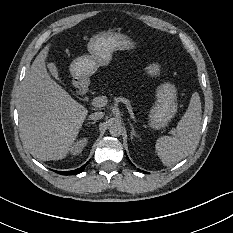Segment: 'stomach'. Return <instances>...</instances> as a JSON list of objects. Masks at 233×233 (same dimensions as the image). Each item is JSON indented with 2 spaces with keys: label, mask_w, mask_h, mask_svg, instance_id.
<instances>
[{
  "label": "stomach",
  "mask_w": 233,
  "mask_h": 233,
  "mask_svg": "<svg viewBox=\"0 0 233 233\" xmlns=\"http://www.w3.org/2000/svg\"><path fill=\"white\" fill-rule=\"evenodd\" d=\"M132 43L122 34L117 32H100L94 35L88 42L89 55L76 58L70 65V72L74 79H87L92 76L99 66L107 65L115 50H123L130 47ZM150 72H156V67H151ZM81 84L80 82H78ZM159 102L152 109L154 127L164 124L175 111L174 89L164 85L158 90Z\"/></svg>",
  "instance_id": "1"
}]
</instances>
